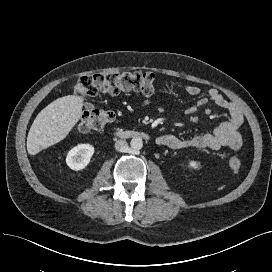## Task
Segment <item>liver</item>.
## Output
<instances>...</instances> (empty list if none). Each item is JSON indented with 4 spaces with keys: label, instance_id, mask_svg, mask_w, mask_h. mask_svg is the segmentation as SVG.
<instances>
[{
    "label": "liver",
    "instance_id": "6515ba94",
    "mask_svg": "<svg viewBox=\"0 0 272 272\" xmlns=\"http://www.w3.org/2000/svg\"><path fill=\"white\" fill-rule=\"evenodd\" d=\"M83 98L68 95L56 99L35 118L27 137V150L35 155L62 141L82 114Z\"/></svg>",
    "mask_w": 272,
    "mask_h": 272
}]
</instances>
